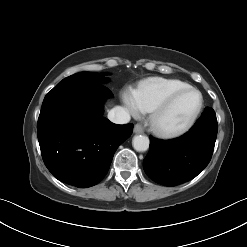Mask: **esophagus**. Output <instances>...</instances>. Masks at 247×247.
<instances>
[{
    "mask_svg": "<svg viewBox=\"0 0 247 247\" xmlns=\"http://www.w3.org/2000/svg\"><path fill=\"white\" fill-rule=\"evenodd\" d=\"M134 132L137 134H141L144 132V129L141 124H136L134 127Z\"/></svg>",
    "mask_w": 247,
    "mask_h": 247,
    "instance_id": "34e87169",
    "label": "esophagus"
}]
</instances>
